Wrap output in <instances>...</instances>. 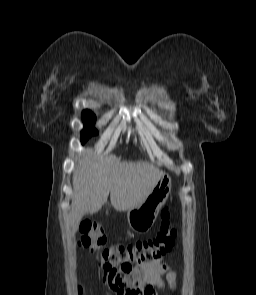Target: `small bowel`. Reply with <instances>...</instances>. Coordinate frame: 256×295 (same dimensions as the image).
<instances>
[{"label": "small bowel", "mask_w": 256, "mask_h": 295, "mask_svg": "<svg viewBox=\"0 0 256 295\" xmlns=\"http://www.w3.org/2000/svg\"><path fill=\"white\" fill-rule=\"evenodd\" d=\"M177 284V272L166 262L155 260L137 268L102 273L101 282L108 295H158L165 287Z\"/></svg>", "instance_id": "c3829d8e"}]
</instances>
